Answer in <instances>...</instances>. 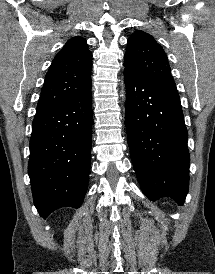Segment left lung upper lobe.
Segmentation results:
<instances>
[{
    "mask_svg": "<svg viewBox=\"0 0 215 274\" xmlns=\"http://www.w3.org/2000/svg\"><path fill=\"white\" fill-rule=\"evenodd\" d=\"M127 44L124 70L176 89L167 55L150 34L135 31Z\"/></svg>",
    "mask_w": 215,
    "mask_h": 274,
    "instance_id": "5c2ea615",
    "label": "left lung upper lobe"
}]
</instances>
